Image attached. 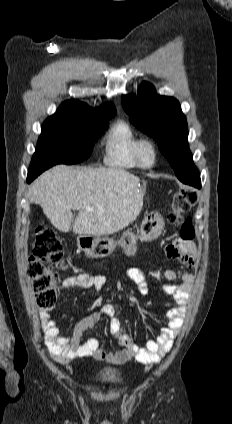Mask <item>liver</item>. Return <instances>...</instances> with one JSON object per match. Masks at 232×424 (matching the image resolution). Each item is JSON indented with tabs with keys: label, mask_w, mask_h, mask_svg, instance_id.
<instances>
[{
	"label": "liver",
	"mask_w": 232,
	"mask_h": 424,
	"mask_svg": "<svg viewBox=\"0 0 232 424\" xmlns=\"http://www.w3.org/2000/svg\"><path fill=\"white\" fill-rule=\"evenodd\" d=\"M144 188L139 177L121 168H73L56 165L31 186L29 200L42 207L53 226L78 235L101 236L132 223L143 207ZM93 207L87 211L85 207Z\"/></svg>",
	"instance_id": "obj_1"
}]
</instances>
